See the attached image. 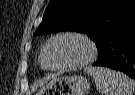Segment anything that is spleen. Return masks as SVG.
Here are the masks:
<instances>
[{"instance_id":"spleen-1","label":"spleen","mask_w":135,"mask_h":95,"mask_svg":"<svg viewBox=\"0 0 135 95\" xmlns=\"http://www.w3.org/2000/svg\"><path fill=\"white\" fill-rule=\"evenodd\" d=\"M84 71L93 77L101 95H133L135 91V82L121 72L91 66Z\"/></svg>"}]
</instances>
